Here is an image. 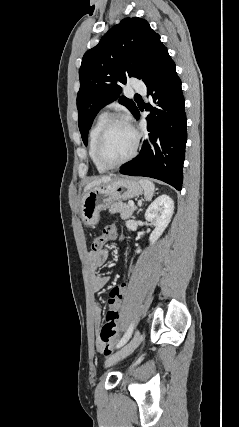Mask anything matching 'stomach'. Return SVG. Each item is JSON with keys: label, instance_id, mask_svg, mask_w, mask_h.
<instances>
[{"label": "stomach", "instance_id": "1", "mask_svg": "<svg viewBox=\"0 0 239 427\" xmlns=\"http://www.w3.org/2000/svg\"><path fill=\"white\" fill-rule=\"evenodd\" d=\"M143 189L133 178L118 177L108 184L96 186L84 193L81 202V217L88 225H96L100 212L116 201L139 196Z\"/></svg>", "mask_w": 239, "mask_h": 427}]
</instances>
